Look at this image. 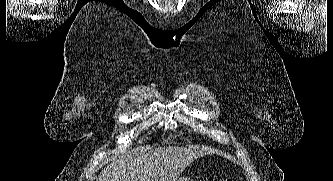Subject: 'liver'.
I'll use <instances>...</instances> for the list:
<instances>
[{"label":"liver","instance_id":"obj_1","mask_svg":"<svg viewBox=\"0 0 333 181\" xmlns=\"http://www.w3.org/2000/svg\"><path fill=\"white\" fill-rule=\"evenodd\" d=\"M205 154L199 147L166 146L134 158L121 156L96 181H177L191 162Z\"/></svg>","mask_w":333,"mask_h":181}]
</instances>
